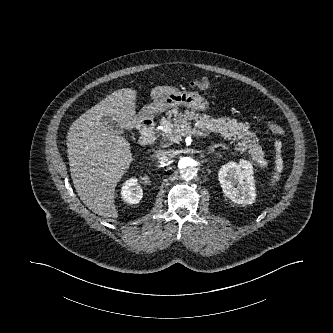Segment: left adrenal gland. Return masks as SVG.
<instances>
[{
  "instance_id": "a2214340",
  "label": "left adrenal gland",
  "mask_w": 333,
  "mask_h": 333,
  "mask_svg": "<svg viewBox=\"0 0 333 333\" xmlns=\"http://www.w3.org/2000/svg\"><path fill=\"white\" fill-rule=\"evenodd\" d=\"M217 147H222L224 149H227V147L225 145H223V144H215V145H213V146L210 147V151L209 152L212 153L214 151V149L217 148Z\"/></svg>"
}]
</instances>
